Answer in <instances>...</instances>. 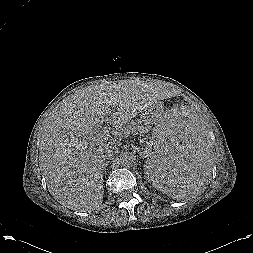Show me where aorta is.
I'll return each mask as SVG.
<instances>
[{
	"instance_id": "aorta-1",
	"label": "aorta",
	"mask_w": 253,
	"mask_h": 253,
	"mask_svg": "<svg viewBox=\"0 0 253 253\" xmlns=\"http://www.w3.org/2000/svg\"><path fill=\"white\" fill-rule=\"evenodd\" d=\"M118 157H119V162L124 166L129 165L134 161V154L129 151L120 152Z\"/></svg>"
}]
</instances>
